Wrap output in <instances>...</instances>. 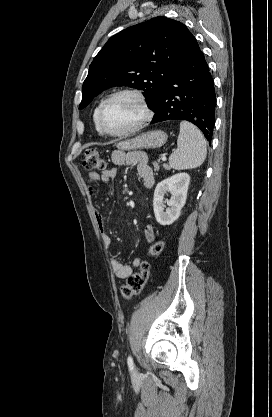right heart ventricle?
<instances>
[{"instance_id": "e07e8e85", "label": "right heart ventricle", "mask_w": 272, "mask_h": 417, "mask_svg": "<svg viewBox=\"0 0 272 417\" xmlns=\"http://www.w3.org/2000/svg\"><path fill=\"white\" fill-rule=\"evenodd\" d=\"M103 101L104 100H101L99 102V104L96 106V108L94 110V113H93V120H94L95 128L99 133H100V131H99V128H98V125H97V115H98L99 108H100L101 104L103 103Z\"/></svg>"}]
</instances>
